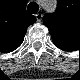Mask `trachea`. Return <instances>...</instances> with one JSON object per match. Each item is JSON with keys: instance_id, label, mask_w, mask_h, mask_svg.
Wrapping results in <instances>:
<instances>
[{"instance_id": "1", "label": "trachea", "mask_w": 80, "mask_h": 80, "mask_svg": "<svg viewBox=\"0 0 80 80\" xmlns=\"http://www.w3.org/2000/svg\"><path fill=\"white\" fill-rule=\"evenodd\" d=\"M28 12L31 14H36L39 11V5L35 2H31L28 4Z\"/></svg>"}]
</instances>
